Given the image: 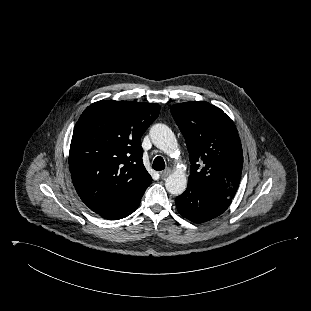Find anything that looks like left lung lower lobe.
I'll list each match as a JSON object with an SVG mask.
<instances>
[{
    "label": "left lung lower lobe",
    "mask_w": 311,
    "mask_h": 311,
    "mask_svg": "<svg viewBox=\"0 0 311 311\" xmlns=\"http://www.w3.org/2000/svg\"><path fill=\"white\" fill-rule=\"evenodd\" d=\"M231 204V199L216 194L193 181L186 191L176 198L178 212L195 223L207 222L221 215Z\"/></svg>",
    "instance_id": "1"
}]
</instances>
